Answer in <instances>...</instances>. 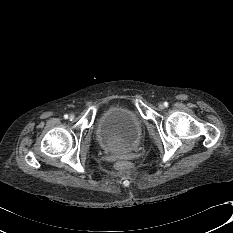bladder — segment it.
Segmentation results:
<instances>
[{"mask_svg":"<svg viewBox=\"0 0 233 233\" xmlns=\"http://www.w3.org/2000/svg\"><path fill=\"white\" fill-rule=\"evenodd\" d=\"M94 130L102 146L127 153L140 143L144 124L135 110L123 105H113L102 112Z\"/></svg>","mask_w":233,"mask_h":233,"instance_id":"bladder-1","label":"bladder"}]
</instances>
